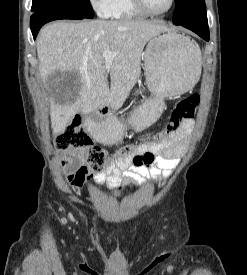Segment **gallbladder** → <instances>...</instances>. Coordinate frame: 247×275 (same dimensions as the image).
Returning a JSON list of instances; mask_svg holds the SVG:
<instances>
[{
	"instance_id": "1",
	"label": "gallbladder",
	"mask_w": 247,
	"mask_h": 275,
	"mask_svg": "<svg viewBox=\"0 0 247 275\" xmlns=\"http://www.w3.org/2000/svg\"><path fill=\"white\" fill-rule=\"evenodd\" d=\"M50 94L60 103L65 102L70 94H74L80 88L77 73L56 71L49 75L46 80Z\"/></svg>"
}]
</instances>
